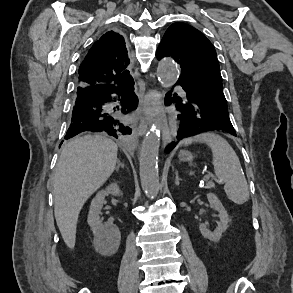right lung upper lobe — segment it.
<instances>
[{"mask_svg":"<svg viewBox=\"0 0 293 293\" xmlns=\"http://www.w3.org/2000/svg\"><path fill=\"white\" fill-rule=\"evenodd\" d=\"M124 38L114 31L105 33L90 49L79 68V86L121 85L132 76Z\"/></svg>","mask_w":293,"mask_h":293,"instance_id":"obj_1","label":"right lung upper lobe"}]
</instances>
